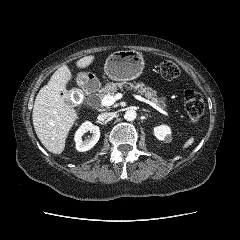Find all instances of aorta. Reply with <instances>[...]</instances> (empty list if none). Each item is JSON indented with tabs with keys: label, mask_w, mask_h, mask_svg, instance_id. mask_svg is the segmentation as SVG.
<instances>
[{
	"label": "aorta",
	"mask_w": 240,
	"mask_h": 240,
	"mask_svg": "<svg viewBox=\"0 0 240 240\" xmlns=\"http://www.w3.org/2000/svg\"><path fill=\"white\" fill-rule=\"evenodd\" d=\"M136 117H137V113L134 110H127L124 115V118L127 121H133L136 119Z\"/></svg>",
	"instance_id": "aorta-1"
}]
</instances>
